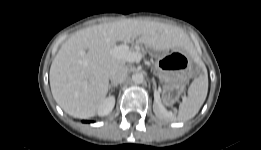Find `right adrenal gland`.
Returning a JSON list of instances; mask_svg holds the SVG:
<instances>
[{
  "mask_svg": "<svg viewBox=\"0 0 261 150\" xmlns=\"http://www.w3.org/2000/svg\"><path fill=\"white\" fill-rule=\"evenodd\" d=\"M117 86H118V84L111 83V84L109 85V89H112V87H117Z\"/></svg>",
  "mask_w": 261,
  "mask_h": 150,
  "instance_id": "1",
  "label": "right adrenal gland"
}]
</instances>
